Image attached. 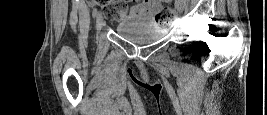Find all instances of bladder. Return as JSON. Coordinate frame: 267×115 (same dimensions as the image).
<instances>
[{"instance_id": "bladder-1", "label": "bladder", "mask_w": 267, "mask_h": 115, "mask_svg": "<svg viewBox=\"0 0 267 115\" xmlns=\"http://www.w3.org/2000/svg\"><path fill=\"white\" fill-rule=\"evenodd\" d=\"M115 31L123 39L132 42L154 41L166 35V31L155 23H123Z\"/></svg>"}]
</instances>
